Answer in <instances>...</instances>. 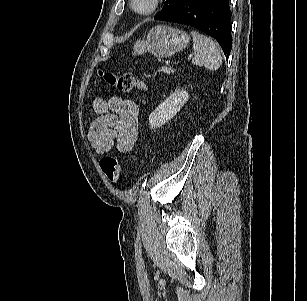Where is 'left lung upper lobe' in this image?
Wrapping results in <instances>:
<instances>
[{"label": "left lung upper lobe", "mask_w": 307, "mask_h": 301, "mask_svg": "<svg viewBox=\"0 0 307 301\" xmlns=\"http://www.w3.org/2000/svg\"><path fill=\"white\" fill-rule=\"evenodd\" d=\"M178 2L179 0H166L162 10L155 16V19H159L165 14H167L169 11H171L176 6Z\"/></svg>", "instance_id": "obj_1"}]
</instances>
